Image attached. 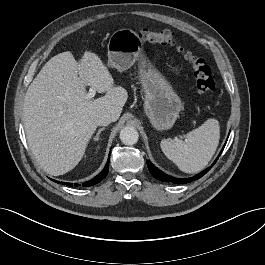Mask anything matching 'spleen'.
Wrapping results in <instances>:
<instances>
[{"label":"spleen","mask_w":265,"mask_h":265,"mask_svg":"<svg viewBox=\"0 0 265 265\" xmlns=\"http://www.w3.org/2000/svg\"><path fill=\"white\" fill-rule=\"evenodd\" d=\"M220 139L219 122L208 119L186 135L185 140L163 139L160 143L165 156L185 173L203 170L212 159Z\"/></svg>","instance_id":"1"}]
</instances>
